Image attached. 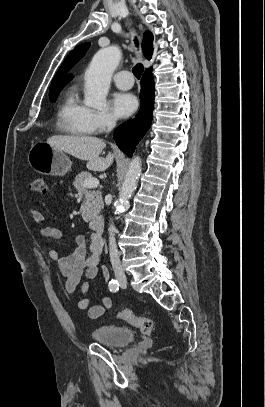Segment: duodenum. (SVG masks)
Here are the masks:
<instances>
[{
    "instance_id": "1",
    "label": "duodenum",
    "mask_w": 265,
    "mask_h": 407,
    "mask_svg": "<svg viewBox=\"0 0 265 407\" xmlns=\"http://www.w3.org/2000/svg\"><path fill=\"white\" fill-rule=\"evenodd\" d=\"M90 227L97 233L102 234L104 231V220L100 216L93 217L90 220Z\"/></svg>"
}]
</instances>
